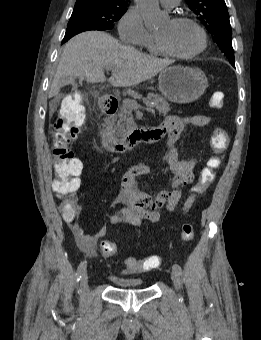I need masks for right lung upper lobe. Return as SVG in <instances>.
I'll return each mask as SVG.
<instances>
[{
	"label": "right lung upper lobe",
	"mask_w": 261,
	"mask_h": 340,
	"mask_svg": "<svg viewBox=\"0 0 261 340\" xmlns=\"http://www.w3.org/2000/svg\"><path fill=\"white\" fill-rule=\"evenodd\" d=\"M83 2H99V3H108V4H128L126 0H77L76 3Z\"/></svg>",
	"instance_id": "cb5924a9"
}]
</instances>
